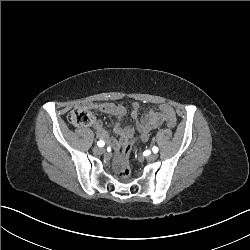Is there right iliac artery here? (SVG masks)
Returning a JSON list of instances; mask_svg holds the SVG:
<instances>
[{"label":"right iliac artery","mask_w":250,"mask_h":250,"mask_svg":"<svg viewBox=\"0 0 250 250\" xmlns=\"http://www.w3.org/2000/svg\"><path fill=\"white\" fill-rule=\"evenodd\" d=\"M97 145L99 147H103L105 145V143H104V141L100 140V141L97 142Z\"/></svg>","instance_id":"82829eb1"}]
</instances>
